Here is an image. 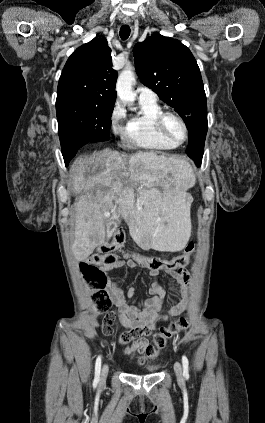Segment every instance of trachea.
Masks as SVG:
<instances>
[{"label":"trachea","instance_id":"1","mask_svg":"<svg viewBox=\"0 0 265 423\" xmlns=\"http://www.w3.org/2000/svg\"><path fill=\"white\" fill-rule=\"evenodd\" d=\"M119 35H120L122 40H126L130 35V27L128 25H123L120 28Z\"/></svg>","mask_w":265,"mask_h":423}]
</instances>
